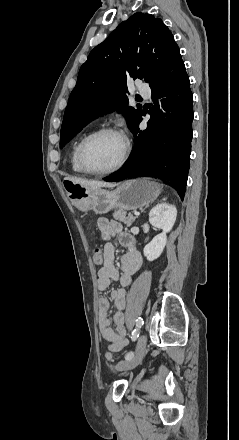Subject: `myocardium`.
<instances>
[{
	"instance_id": "f54148a6",
	"label": "myocardium",
	"mask_w": 239,
	"mask_h": 440,
	"mask_svg": "<svg viewBox=\"0 0 239 440\" xmlns=\"http://www.w3.org/2000/svg\"><path fill=\"white\" fill-rule=\"evenodd\" d=\"M104 134L120 135L124 139V151H123V154H122L120 161L118 162V164L115 167L108 169V170L97 171V170L91 169L88 166V164L86 162V158H85V151H86L87 146L89 145V143L92 140H94L95 138H97L101 135H104ZM130 151H131L130 142L127 139V137L124 135V133L115 127L105 126V127H101V128H98V129L90 132L82 140V142L80 143L79 148H78L77 158H78L79 166L86 174H89L92 176H105V175L114 174V173L118 172L120 169H122L129 158Z\"/></svg>"
}]
</instances>
